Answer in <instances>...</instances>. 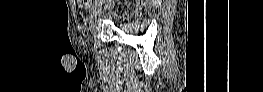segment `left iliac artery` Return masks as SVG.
Here are the masks:
<instances>
[{
    "instance_id": "obj_1",
    "label": "left iliac artery",
    "mask_w": 263,
    "mask_h": 92,
    "mask_svg": "<svg viewBox=\"0 0 263 92\" xmlns=\"http://www.w3.org/2000/svg\"><path fill=\"white\" fill-rule=\"evenodd\" d=\"M90 9H91L92 15H95L96 9H97V3H96V1H92V2H91Z\"/></svg>"
}]
</instances>
